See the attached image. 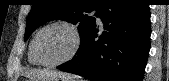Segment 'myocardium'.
Masks as SVG:
<instances>
[{"label": "myocardium", "instance_id": "1", "mask_svg": "<svg viewBox=\"0 0 169 81\" xmlns=\"http://www.w3.org/2000/svg\"><path fill=\"white\" fill-rule=\"evenodd\" d=\"M53 27H64V28L68 29L73 36L74 43H73V47H72L71 51L64 58H62L61 60L56 61V62L47 63V62H44L40 59L38 51H37V43H38V39H39L40 35L43 32H45L46 30L53 28ZM80 46H81V34H80V31L78 30V28L75 25H73L69 22H66V21H55V22H52V23L42 27L36 33V35L34 36V40H33L32 52H33L34 58L36 59L38 64H40L44 67H47V68H54V67H57L63 63L68 62L69 60H71L77 54Z\"/></svg>", "mask_w": 169, "mask_h": 81}]
</instances>
